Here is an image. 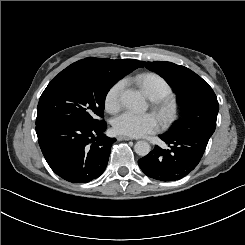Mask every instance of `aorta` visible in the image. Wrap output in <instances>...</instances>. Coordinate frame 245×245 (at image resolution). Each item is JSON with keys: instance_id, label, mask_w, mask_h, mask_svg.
<instances>
[{"instance_id": "762f6f07", "label": "aorta", "mask_w": 245, "mask_h": 245, "mask_svg": "<svg viewBox=\"0 0 245 245\" xmlns=\"http://www.w3.org/2000/svg\"><path fill=\"white\" fill-rule=\"evenodd\" d=\"M121 101L133 110L143 111L146 109V102L143 96L134 90H125L121 94ZM134 150L139 156H146L151 151V147L148 142L141 140L135 143Z\"/></svg>"}]
</instances>
